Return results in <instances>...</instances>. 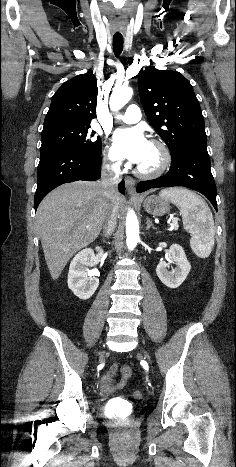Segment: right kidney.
I'll use <instances>...</instances> for the list:
<instances>
[{
    "instance_id": "obj_1",
    "label": "right kidney",
    "mask_w": 236,
    "mask_h": 467,
    "mask_svg": "<svg viewBox=\"0 0 236 467\" xmlns=\"http://www.w3.org/2000/svg\"><path fill=\"white\" fill-rule=\"evenodd\" d=\"M97 252L101 251L96 247ZM95 253L91 248L81 250L75 255L70 263L68 273V287L80 299H89L96 291L99 285L97 277L98 271L88 270V266H94Z\"/></svg>"
}]
</instances>
